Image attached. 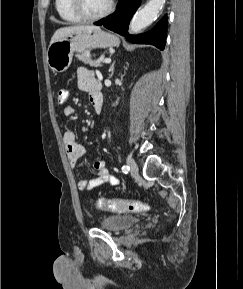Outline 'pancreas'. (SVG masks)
<instances>
[{"label":"pancreas","mask_w":243,"mask_h":289,"mask_svg":"<svg viewBox=\"0 0 243 289\" xmlns=\"http://www.w3.org/2000/svg\"><path fill=\"white\" fill-rule=\"evenodd\" d=\"M76 57H77V59L82 61L84 64H88V65H90L92 67H100V66H102L100 61L92 60L89 50H86V51H84L82 53L77 54Z\"/></svg>","instance_id":"cf45deb5"}]
</instances>
